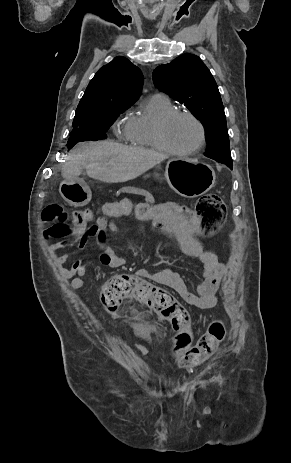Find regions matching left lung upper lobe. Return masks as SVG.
I'll list each match as a JSON object with an SVG mask.
<instances>
[{"mask_svg": "<svg viewBox=\"0 0 291 463\" xmlns=\"http://www.w3.org/2000/svg\"><path fill=\"white\" fill-rule=\"evenodd\" d=\"M153 82L201 121L208 143L205 156L215 160H232L218 86L198 56L183 54L168 64L158 66L153 71Z\"/></svg>", "mask_w": 291, "mask_h": 463, "instance_id": "obj_1", "label": "left lung upper lobe"}]
</instances>
